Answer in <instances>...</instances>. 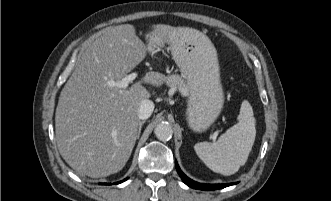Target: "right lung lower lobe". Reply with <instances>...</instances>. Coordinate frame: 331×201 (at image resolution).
I'll use <instances>...</instances> for the list:
<instances>
[{
    "mask_svg": "<svg viewBox=\"0 0 331 201\" xmlns=\"http://www.w3.org/2000/svg\"><path fill=\"white\" fill-rule=\"evenodd\" d=\"M125 180H127V178H126ZM125 180H123V181H125ZM123 181H120V182H116L115 184H119V183H121V182H123Z\"/></svg>",
    "mask_w": 331,
    "mask_h": 201,
    "instance_id": "right-lung-lower-lobe-1",
    "label": "right lung lower lobe"
}]
</instances>
